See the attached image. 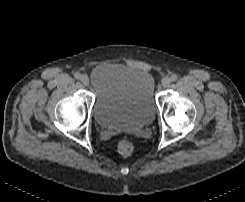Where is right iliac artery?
I'll return each instance as SVG.
<instances>
[{
	"instance_id": "obj_1",
	"label": "right iliac artery",
	"mask_w": 245,
	"mask_h": 202,
	"mask_svg": "<svg viewBox=\"0 0 245 202\" xmlns=\"http://www.w3.org/2000/svg\"><path fill=\"white\" fill-rule=\"evenodd\" d=\"M74 77H75L76 79H80L81 74H80L79 72H76V73L74 74Z\"/></svg>"
}]
</instances>
